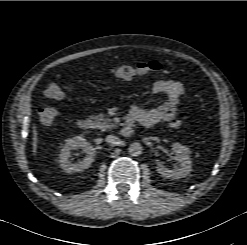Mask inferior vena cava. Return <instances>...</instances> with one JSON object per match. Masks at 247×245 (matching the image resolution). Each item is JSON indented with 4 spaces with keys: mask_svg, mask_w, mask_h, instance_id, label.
<instances>
[{
    "mask_svg": "<svg viewBox=\"0 0 247 245\" xmlns=\"http://www.w3.org/2000/svg\"><path fill=\"white\" fill-rule=\"evenodd\" d=\"M105 140L109 144H117L119 142V138L114 135H108Z\"/></svg>",
    "mask_w": 247,
    "mask_h": 245,
    "instance_id": "1",
    "label": "inferior vena cava"
}]
</instances>
